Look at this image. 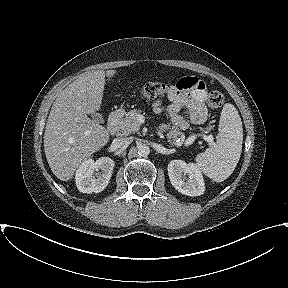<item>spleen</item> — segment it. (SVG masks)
<instances>
[{
  "label": "spleen",
  "mask_w": 288,
  "mask_h": 288,
  "mask_svg": "<svg viewBox=\"0 0 288 288\" xmlns=\"http://www.w3.org/2000/svg\"><path fill=\"white\" fill-rule=\"evenodd\" d=\"M216 138V146L198 154L195 161L207 177L222 182L233 173L242 152V122L232 104L227 103L222 109Z\"/></svg>",
  "instance_id": "3e777b00"
}]
</instances>
